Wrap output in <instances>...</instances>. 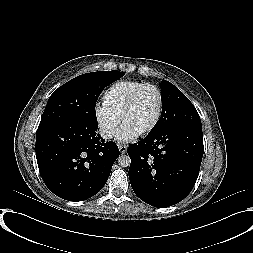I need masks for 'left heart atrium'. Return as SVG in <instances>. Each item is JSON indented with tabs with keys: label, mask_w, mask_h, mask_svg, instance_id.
<instances>
[{
	"label": "left heart atrium",
	"mask_w": 253,
	"mask_h": 253,
	"mask_svg": "<svg viewBox=\"0 0 253 253\" xmlns=\"http://www.w3.org/2000/svg\"><path fill=\"white\" fill-rule=\"evenodd\" d=\"M138 132L130 128L128 125L123 124L117 133V139L123 142H128L135 139Z\"/></svg>",
	"instance_id": "39dd6f15"
}]
</instances>
